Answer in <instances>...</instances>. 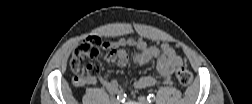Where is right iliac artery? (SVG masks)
<instances>
[{"label": "right iliac artery", "mask_w": 252, "mask_h": 104, "mask_svg": "<svg viewBox=\"0 0 252 104\" xmlns=\"http://www.w3.org/2000/svg\"><path fill=\"white\" fill-rule=\"evenodd\" d=\"M125 97H126V94L120 92V93L117 95V100L123 102V101L125 100ZM113 99H114V97H111V100H113Z\"/></svg>", "instance_id": "1"}]
</instances>
